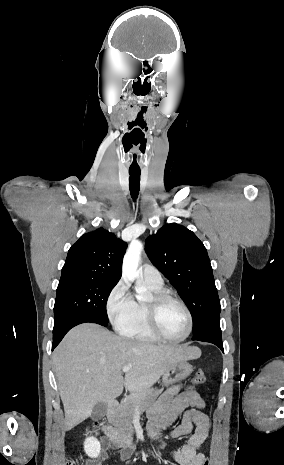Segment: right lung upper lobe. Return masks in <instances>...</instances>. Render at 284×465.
<instances>
[{"label":"right lung upper lobe","mask_w":284,"mask_h":465,"mask_svg":"<svg viewBox=\"0 0 284 465\" xmlns=\"http://www.w3.org/2000/svg\"><path fill=\"white\" fill-rule=\"evenodd\" d=\"M126 248L124 241L103 228L86 233L69 249L61 279L86 277L118 282Z\"/></svg>","instance_id":"cb5924a9"}]
</instances>
